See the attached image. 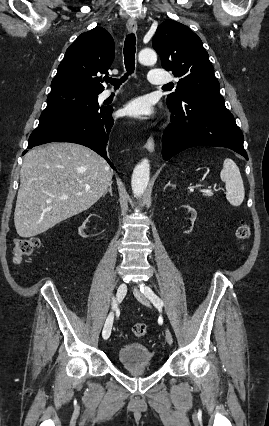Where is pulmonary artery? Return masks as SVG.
Masks as SVG:
<instances>
[{
  "label": "pulmonary artery",
  "instance_id": "obj_1",
  "mask_svg": "<svg viewBox=\"0 0 269 426\" xmlns=\"http://www.w3.org/2000/svg\"><path fill=\"white\" fill-rule=\"evenodd\" d=\"M148 80L153 84L164 86L169 84V82L172 80V77L162 69L154 68L149 70ZM111 94V91H104L103 97L108 98L111 96Z\"/></svg>",
  "mask_w": 269,
  "mask_h": 426
}]
</instances>
